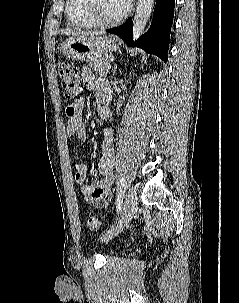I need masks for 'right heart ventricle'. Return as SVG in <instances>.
<instances>
[{
	"instance_id": "right-heart-ventricle-1",
	"label": "right heart ventricle",
	"mask_w": 239,
	"mask_h": 303,
	"mask_svg": "<svg viewBox=\"0 0 239 303\" xmlns=\"http://www.w3.org/2000/svg\"><path fill=\"white\" fill-rule=\"evenodd\" d=\"M86 0H66L65 15L69 25L75 29H88L95 26L85 11Z\"/></svg>"
}]
</instances>
